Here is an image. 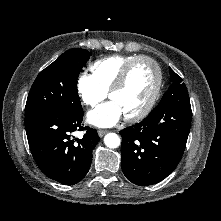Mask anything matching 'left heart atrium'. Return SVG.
I'll list each match as a JSON object with an SVG mask.
<instances>
[{
  "mask_svg": "<svg viewBox=\"0 0 221 221\" xmlns=\"http://www.w3.org/2000/svg\"><path fill=\"white\" fill-rule=\"evenodd\" d=\"M120 106L115 101H109L88 113V122L101 128L112 127L123 117Z\"/></svg>",
  "mask_w": 221,
  "mask_h": 221,
  "instance_id": "left-heart-atrium-1",
  "label": "left heart atrium"
}]
</instances>
